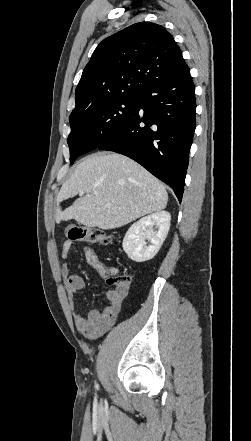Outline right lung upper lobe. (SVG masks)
<instances>
[{"label":"right lung upper lobe","mask_w":251,"mask_h":441,"mask_svg":"<svg viewBox=\"0 0 251 441\" xmlns=\"http://www.w3.org/2000/svg\"><path fill=\"white\" fill-rule=\"evenodd\" d=\"M173 36L161 25L140 22L103 40L83 70L76 107L104 98L141 95L186 67Z\"/></svg>","instance_id":"cb5924a9"}]
</instances>
